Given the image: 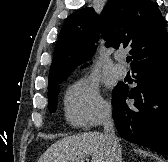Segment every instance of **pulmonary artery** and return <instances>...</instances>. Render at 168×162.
<instances>
[{
	"label": "pulmonary artery",
	"instance_id": "pulmonary-artery-1",
	"mask_svg": "<svg viewBox=\"0 0 168 162\" xmlns=\"http://www.w3.org/2000/svg\"><path fill=\"white\" fill-rule=\"evenodd\" d=\"M116 59H118L119 61L122 60V58L119 55H116ZM113 73L118 77V78H123L125 77V75L127 74V69L126 67H124L123 65L120 64H116L113 67Z\"/></svg>",
	"mask_w": 168,
	"mask_h": 162
}]
</instances>
